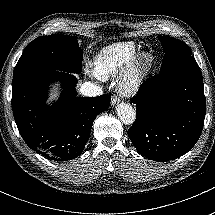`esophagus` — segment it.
I'll return each instance as SVG.
<instances>
[{
	"instance_id": "obj_1",
	"label": "esophagus",
	"mask_w": 215,
	"mask_h": 215,
	"mask_svg": "<svg viewBox=\"0 0 215 215\" xmlns=\"http://www.w3.org/2000/svg\"><path fill=\"white\" fill-rule=\"evenodd\" d=\"M118 102L117 98H113L111 101V105L114 106Z\"/></svg>"
}]
</instances>
